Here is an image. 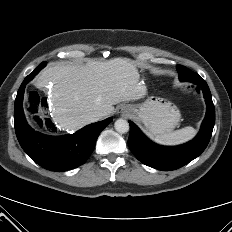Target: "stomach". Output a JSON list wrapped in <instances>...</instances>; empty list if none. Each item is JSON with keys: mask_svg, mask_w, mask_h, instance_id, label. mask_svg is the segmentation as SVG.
Wrapping results in <instances>:
<instances>
[{"mask_svg": "<svg viewBox=\"0 0 232 232\" xmlns=\"http://www.w3.org/2000/svg\"><path fill=\"white\" fill-rule=\"evenodd\" d=\"M126 107L152 135L171 132L181 118L180 111L175 105L157 96H151L141 104H129Z\"/></svg>", "mask_w": 232, "mask_h": 232, "instance_id": "0dacf381", "label": "stomach"}]
</instances>
